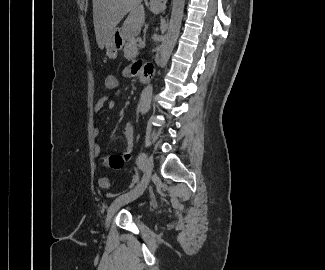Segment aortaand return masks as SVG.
Segmentation results:
<instances>
[{
  "mask_svg": "<svg viewBox=\"0 0 325 270\" xmlns=\"http://www.w3.org/2000/svg\"><path fill=\"white\" fill-rule=\"evenodd\" d=\"M185 0H172V12L165 39L160 48L161 62H167L178 39L184 14ZM153 87L148 84L141 95L139 109L142 114L149 111Z\"/></svg>",
  "mask_w": 325,
  "mask_h": 270,
  "instance_id": "1",
  "label": "aorta"
}]
</instances>
